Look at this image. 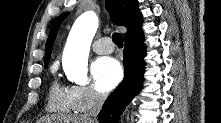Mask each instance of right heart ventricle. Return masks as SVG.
I'll return each mask as SVG.
<instances>
[{"label": "right heart ventricle", "mask_w": 221, "mask_h": 123, "mask_svg": "<svg viewBox=\"0 0 221 123\" xmlns=\"http://www.w3.org/2000/svg\"><path fill=\"white\" fill-rule=\"evenodd\" d=\"M47 108L50 112L70 113L73 109L69 97V89L64 88L61 84L54 80L49 88V98Z\"/></svg>", "instance_id": "e07e8e85"}]
</instances>
